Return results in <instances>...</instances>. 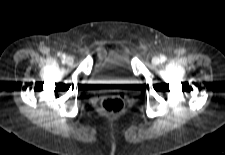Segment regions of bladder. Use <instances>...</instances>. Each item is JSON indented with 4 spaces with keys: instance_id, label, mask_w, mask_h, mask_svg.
I'll return each instance as SVG.
<instances>
[{
    "instance_id": "bladder-1",
    "label": "bladder",
    "mask_w": 225,
    "mask_h": 155,
    "mask_svg": "<svg viewBox=\"0 0 225 155\" xmlns=\"http://www.w3.org/2000/svg\"><path fill=\"white\" fill-rule=\"evenodd\" d=\"M92 77L100 83L134 87V76L128 55L121 50H112L100 56L94 63Z\"/></svg>"
}]
</instances>
